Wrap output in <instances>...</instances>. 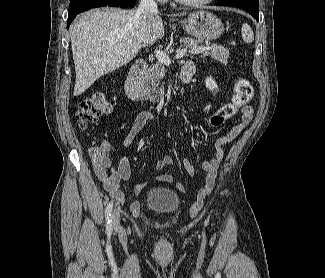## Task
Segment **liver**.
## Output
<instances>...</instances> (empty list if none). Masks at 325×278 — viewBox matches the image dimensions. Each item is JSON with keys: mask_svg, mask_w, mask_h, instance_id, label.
Listing matches in <instances>:
<instances>
[{"mask_svg": "<svg viewBox=\"0 0 325 278\" xmlns=\"http://www.w3.org/2000/svg\"><path fill=\"white\" fill-rule=\"evenodd\" d=\"M163 35L164 25L157 13L149 20L138 10L105 8L81 15L71 33L76 72L73 95H81L98 78L126 65L142 46Z\"/></svg>", "mask_w": 325, "mask_h": 278, "instance_id": "obj_1", "label": "liver"}]
</instances>
